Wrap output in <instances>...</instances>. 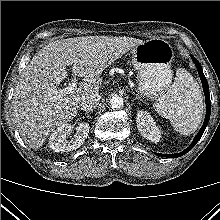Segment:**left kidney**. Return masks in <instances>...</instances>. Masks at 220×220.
Instances as JSON below:
<instances>
[{"label": "left kidney", "instance_id": "1", "mask_svg": "<svg viewBox=\"0 0 220 220\" xmlns=\"http://www.w3.org/2000/svg\"><path fill=\"white\" fill-rule=\"evenodd\" d=\"M137 128L140 134L147 140L159 142L161 132L152 116L147 111H138L136 117Z\"/></svg>", "mask_w": 220, "mask_h": 220}]
</instances>
